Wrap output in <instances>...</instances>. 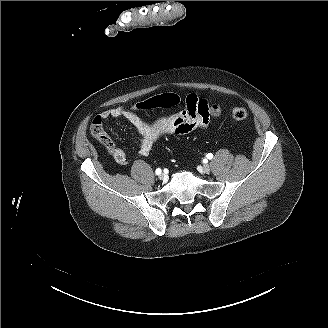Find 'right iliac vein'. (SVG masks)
Here are the masks:
<instances>
[{
	"label": "right iliac vein",
	"mask_w": 328,
	"mask_h": 328,
	"mask_svg": "<svg viewBox=\"0 0 328 328\" xmlns=\"http://www.w3.org/2000/svg\"><path fill=\"white\" fill-rule=\"evenodd\" d=\"M159 179L162 181H165V180H167V175L164 173H161V174H159Z\"/></svg>",
	"instance_id": "63e3f726"
}]
</instances>
